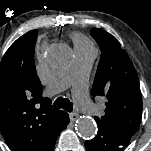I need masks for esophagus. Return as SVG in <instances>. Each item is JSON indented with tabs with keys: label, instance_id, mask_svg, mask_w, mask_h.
I'll return each mask as SVG.
<instances>
[{
	"label": "esophagus",
	"instance_id": "34e87169",
	"mask_svg": "<svg viewBox=\"0 0 151 151\" xmlns=\"http://www.w3.org/2000/svg\"><path fill=\"white\" fill-rule=\"evenodd\" d=\"M69 117H70V120L73 122L78 118V114L77 113H71L69 115Z\"/></svg>",
	"mask_w": 151,
	"mask_h": 151
}]
</instances>
